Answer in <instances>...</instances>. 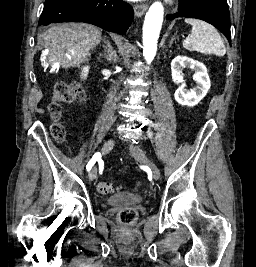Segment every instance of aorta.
Listing matches in <instances>:
<instances>
[{"label":"aorta","instance_id":"762f6f07","mask_svg":"<svg viewBox=\"0 0 256 267\" xmlns=\"http://www.w3.org/2000/svg\"><path fill=\"white\" fill-rule=\"evenodd\" d=\"M163 20V4L154 2L149 8L143 24V56L147 64H151L156 56Z\"/></svg>","mask_w":256,"mask_h":267}]
</instances>
